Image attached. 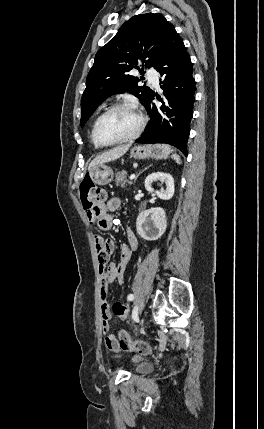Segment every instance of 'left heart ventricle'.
<instances>
[{
    "label": "left heart ventricle",
    "instance_id": "b2bd125f",
    "mask_svg": "<svg viewBox=\"0 0 264 429\" xmlns=\"http://www.w3.org/2000/svg\"><path fill=\"white\" fill-rule=\"evenodd\" d=\"M138 125V118L131 110H117L105 116L97 128L102 142H113L131 135Z\"/></svg>",
    "mask_w": 264,
    "mask_h": 429
}]
</instances>
